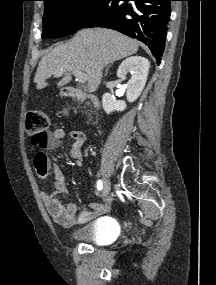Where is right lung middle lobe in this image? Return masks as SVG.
<instances>
[{
	"mask_svg": "<svg viewBox=\"0 0 216 285\" xmlns=\"http://www.w3.org/2000/svg\"><path fill=\"white\" fill-rule=\"evenodd\" d=\"M104 0H50L45 5L43 38L62 37L76 32ZM75 11L69 10L70 6Z\"/></svg>",
	"mask_w": 216,
	"mask_h": 285,
	"instance_id": "1",
	"label": "right lung middle lobe"
}]
</instances>
